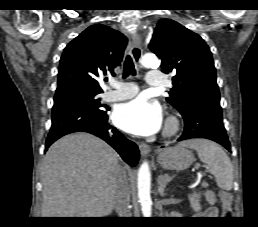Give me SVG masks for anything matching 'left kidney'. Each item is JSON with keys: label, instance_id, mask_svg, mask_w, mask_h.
<instances>
[{"label": "left kidney", "instance_id": "5707ae66", "mask_svg": "<svg viewBox=\"0 0 258 227\" xmlns=\"http://www.w3.org/2000/svg\"><path fill=\"white\" fill-rule=\"evenodd\" d=\"M199 198H200V195L197 194L196 192L190 196L191 207L195 212H199L201 210Z\"/></svg>", "mask_w": 258, "mask_h": 227}]
</instances>
